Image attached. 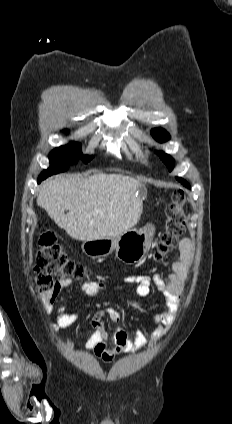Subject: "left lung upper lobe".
I'll return each mask as SVG.
<instances>
[{
	"mask_svg": "<svg viewBox=\"0 0 232 424\" xmlns=\"http://www.w3.org/2000/svg\"><path fill=\"white\" fill-rule=\"evenodd\" d=\"M151 135L159 142H165L170 139L169 134L164 129L160 128L151 130ZM158 155L160 156L161 160L166 164L168 169L171 171L174 167V159L170 155L165 154L162 151L158 152Z\"/></svg>",
	"mask_w": 232,
	"mask_h": 424,
	"instance_id": "1",
	"label": "left lung upper lobe"
}]
</instances>
